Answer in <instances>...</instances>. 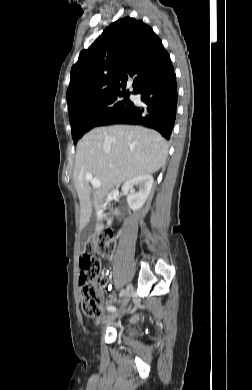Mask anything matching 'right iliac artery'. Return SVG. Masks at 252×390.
<instances>
[{
	"instance_id": "82829eb1",
	"label": "right iliac artery",
	"mask_w": 252,
	"mask_h": 390,
	"mask_svg": "<svg viewBox=\"0 0 252 390\" xmlns=\"http://www.w3.org/2000/svg\"><path fill=\"white\" fill-rule=\"evenodd\" d=\"M134 309H135V306H132L131 311L123 312V315L134 316L135 315ZM107 310L111 311V312H114V311H116V308L114 306H109V307H107Z\"/></svg>"
}]
</instances>
